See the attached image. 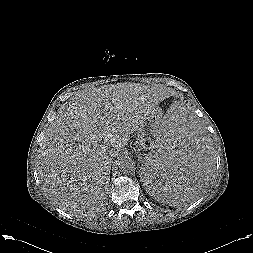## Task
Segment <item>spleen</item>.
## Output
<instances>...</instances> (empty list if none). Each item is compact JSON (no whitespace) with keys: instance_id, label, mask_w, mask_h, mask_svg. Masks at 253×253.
Wrapping results in <instances>:
<instances>
[{"instance_id":"spleen-1","label":"spleen","mask_w":253,"mask_h":253,"mask_svg":"<svg viewBox=\"0 0 253 253\" xmlns=\"http://www.w3.org/2000/svg\"><path fill=\"white\" fill-rule=\"evenodd\" d=\"M212 166L210 137L183 102L160 119L140 162L139 178L158 201L179 203L195 197L208 184Z\"/></svg>"}]
</instances>
